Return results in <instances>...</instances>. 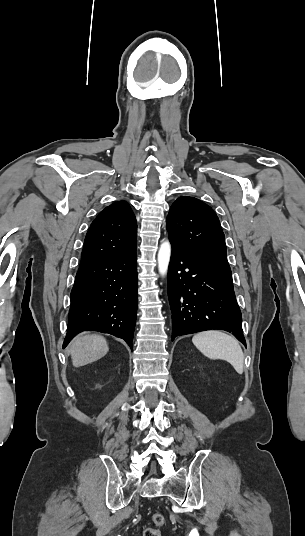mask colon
Segmentation results:
<instances>
[{"label": "colon", "mask_w": 305, "mask_h": 536, "mask_svg": "<svg viewBox=\"0 0 305 536\" xmlns=\"http://www.w3.org/2000/svg\"><path fill=\"white\" fill-rule=\"evenodd\" d=\"M151 521L155 526H162L165 523V516L161 513H153ZM143 536H161L159 527H149L143 532Z\"/></svg>", "instance_id": "1"}]
</instances>
